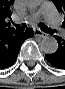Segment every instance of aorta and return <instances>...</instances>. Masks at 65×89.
I'll return each mask as SVG.
<instances>
[{"label":"aorta","mask_w":65,"mask_h":89,"mask_svg":"<svg viewBox=\"0 0 65 89\" xmlns=\"http://www.w3.org/2000/svg\"><path fill=\"white\" fill-rule=\"evenodd\" d=\"M32 6H35L37 4V1H32L30 3ZM40 48L43 52L46 54H53L58 49V43L57 40L52 36H45L40 43Z\"/></svg>","instance_id":"762f6f07"}]
</instances>
